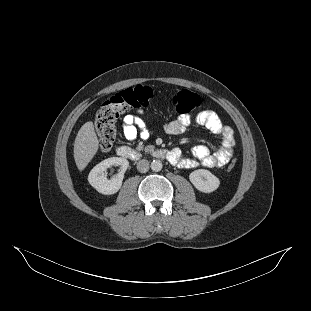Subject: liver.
Returning <instances> with one entry per match:
<instances>
[{
    "label": "liver",
    "mask_w": 311,
    "mask_h": 311,
    "mask_svg": "<svg viewBox=\"0 0 311 311\" xmlns=\"http://www.w3.org/2000/svg\"><path fill=\"white\" fill-rule=\"evenodd\" d=\"M99 148L93 122H86L77 133L74 142V159L79 171H83Z\"/></svg>",
    "instance_id": "liver-1"
}]
</instances>
